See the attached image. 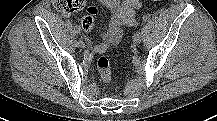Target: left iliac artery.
<instances>
[{"label":"left iliac artery","mask_w":217,"mask_h":121,"mask_svg":"<svg viewBox=\"0 0 217 121\" xmlns=\"http://www.w3.org/2000/svg\"><path fill=\"white\" fill-rule=\"evenodd\" d=\"M150 19H151V17H150L149 14H145V15L143 16V21H144V22H148Z\"/></svg>","instance_id":"obj_1"}]
</instances>
